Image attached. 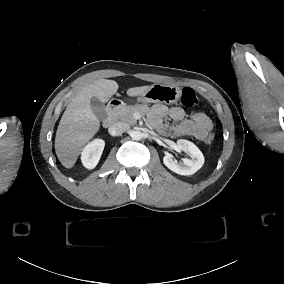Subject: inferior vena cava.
Instances as JSON below:
<instances>
[{
    "instance_id": "1",
    "label": "inferior vena cava",
    "mask_w": 284,
    "mask_h": 284,
    "mask_svg": "<svg viewBox=\"0 0 284 284\" xmlns=\"http://www.w3.org/2000/svg\"><path fill=\"white\" fill-rule=\"evenodd\" d=\"M129 129V125L124 122H116L109 127V133L112 136H119Z\"/></svg>"
}]
</instances>
